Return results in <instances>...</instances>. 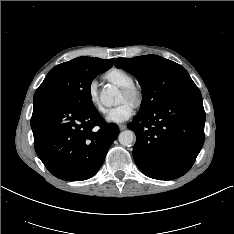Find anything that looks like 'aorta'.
Here are the masks:
<instances>
[{"instance_id":"762f6f07","label":"aorta","mask_w":234,"mask_h":234,"mask_svg":"<svg viewBox=\"0 0 234 234\" xmlns=\"http://www.w3.org/2000/svg\"><path fill=\"white\" fill-rule=\"evenodd\" d=\"M118 95V90L114 86L103 88L100 99L105 105H112L114 98ZM134 132L131 130L122 131L119 136V142L123 146H130L134 141Z\"/></svg>"}]
</instances>
